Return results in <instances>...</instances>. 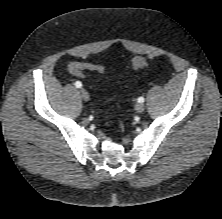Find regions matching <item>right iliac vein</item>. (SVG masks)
Instances as JSON below:
<instances>
[{
    "mask_svg": "<svg viewBox=\"0 0 222 219\" xmlns=\"http://www.w3.org/2000/svg\"><path fill=\"white\" fill-rule=\"evenodd\" d=\"M80 95L84 101H88L90 98L89 93L84 88L80 89Z\"/></svg>",
    "mask_w": 222,
    "mask_h": 219,
    "instance_id": "63e3f726",
    "label": "right iliac vein"
}]
</instances>
